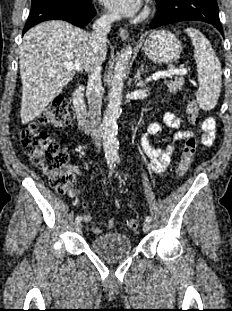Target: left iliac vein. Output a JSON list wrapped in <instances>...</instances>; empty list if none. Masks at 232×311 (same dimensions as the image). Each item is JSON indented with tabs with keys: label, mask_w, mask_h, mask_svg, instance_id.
Returning <instances> with one entry per match:
<instances>
[{
	"label": "left iliac vein",
	"mask_w": 232,
	"mask_h": 311,
	"mask_svg": "<svg viewBox=\"0 0 232 311\" xmlns=\"http://www.w3.org/2000/svg\"><path fill=\"white\" fill-rule=\"evenodd\" d=\"M150 230H151V225H150L149 222H146V223L144 224V226H143V231H144L145 233H147V232H149Z\"/></svg>",
	"instance_id": "4c4485c4"
}]
</instances>
